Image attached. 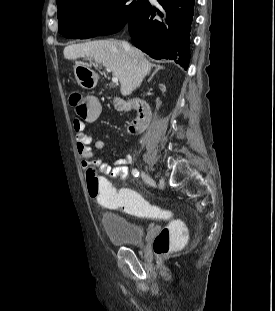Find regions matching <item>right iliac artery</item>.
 Masks as SVG:
<instances>
[{"label":"right iliac artery","instance_id":"1","mask_svg":"<svg viewBox=\"0 0 275 311\" xmlns=\"http://www.w3.org/2000/svg\"><path fill=\"white\" fill-rule=\"evenodd\" d=\"M132 175H133L134 177H138V176H139V171H138L137 169H133V170H132Z\"/></svg>","mask_w":275,"mask_h":311}]
</instances>
